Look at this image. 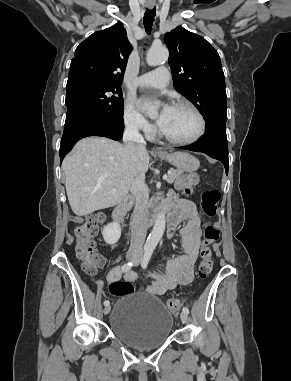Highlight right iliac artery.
<instances>
[{"instance_id":"82829eb1","label":"right iliac artery","mask_w":291,"mask_h":381,"mask_svg":"<svg viewBox=\"0 0 291 381\" xmlns=\"http://www.w3.org/2000/svg\"><path fill=\"white\" fill-rule=\"evenodd\" d=\"M132 266H133L132 262L125 263V264L122 265L121 270H122V272H127V271H129L132 268ZM109 304L110 303H109L108 300L104 301V305L105 306H108Z\"/></svg>"}]
</instances>
